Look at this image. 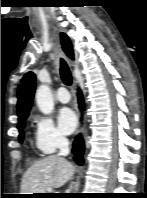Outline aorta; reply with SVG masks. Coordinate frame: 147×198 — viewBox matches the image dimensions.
<instances>
[{
	"label": "aorta",
	"mask_w": 147,
	"mask_h": 198,
	"mask_svg": "<svg viewBox=\"0 0 147 198\" xmlns=\"http://www.w3.org/2000/svg\"><path fill=\"white\" fill-rule=\"evenodd\" d=\"M36 104L44 114H50L54 110V101L50 88L47 85H40L36 90Z\"/></svg>",
	"instance_id": "762f6f07"
}]
</instances>
